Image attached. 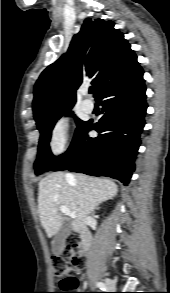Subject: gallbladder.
I'll use <instances>...</instances> for the list:
<instances>
[{"mask_svg": "<svg viewBox=\"0 0 170 293\" xmlns=\"http://www.w3.org/2000/svg\"><path fill=\"white\" fill-rule=\"evenodd\" d=\"M70 235V223L64 222L55 234L52 241V252L55 255H60L65 245L67 237Z\"/></svg>", "mask_w": 170, "mask_h": 293, "instance_id": "obj_1", "label": "gallbladder"}]
</instances>
